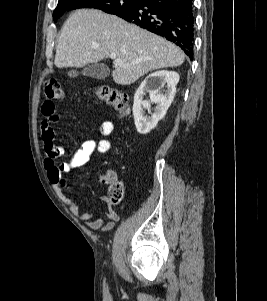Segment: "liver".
Listing matches in <instances>:
<instances>
[{
    "instance_id": "1",
    "label": "liver",
    "mask_w": 267,
    "mask_h": 301,
    "mask_svg": "<svg viewBox=\"0 0 267 301\" xmlns=\"http://www.w3.org/2000/svg\"><path fill=\"white\" fill-rule=\"evenodd\" d=\"M115 54L126 66L116 65L113 80L130 85L144 74L183 64L184 53L171 42L95 9L76 10L63 25L55 66L83 67Z\"/></svg>"
}]
</instances>
